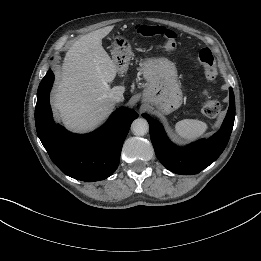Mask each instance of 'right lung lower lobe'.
I'll return each instance as SVG.
<instances>
[{"instance_id":"right-lung-lower-lobe-1","label":"right lung lower lobe","mask_w":261,"mask_h":261,"mask_svg":"<svg viewBox=\"0 0 261 261\" xmlns=\"http://www.w3.org/2000/svg\"><path fill=\"white\" fill-rule=\"evenodd\" d=\"M53 81L54 74L48 70L37 91L35 124L39 139L66 175L86 182L108 178L119 165L123 142L138 114L120 108L95 132L73 134L53 121L49 103Z\"/></svg>"}]
</instances>
